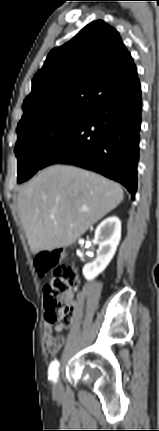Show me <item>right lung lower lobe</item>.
Here are the masks:
<instances>
[{"mask_svg":"<svg viewBox=\"0 0 159 431\" xmlns=\"http://www.w3.org/2000/svg\"><path fill=\"white\" fill-rule=\"evenodd\" d=\"M141 110L138 80L91 111L49 152L42 168L64 163L98 172L124 185L133 199L137 189Z\"/></svg>","mask_w":159,"mask_h":431,"instance_id":"98d812e1","label":"right lung lower lobe"}]
</instances>
